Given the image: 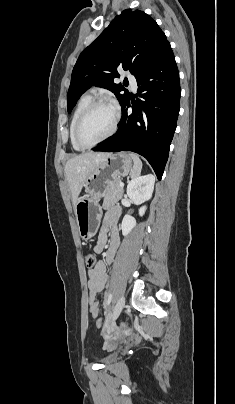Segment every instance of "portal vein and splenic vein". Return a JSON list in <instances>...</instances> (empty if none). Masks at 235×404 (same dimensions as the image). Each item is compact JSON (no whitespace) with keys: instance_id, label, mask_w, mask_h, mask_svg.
Instances as JSON below:
<instances>
[{"instance_id":"obj_1","label":"portal vein and splenic vein","mask_w":235,"mask_h":404,"mask_svg":"<svg viewBox=\"0 0 235 404\" xmlns=\"http://www.w3.org/2000/svg\"><path fill=\"white\" fill-rule=\"evenodd\" d=\"M120 187H121V188H123V187H124V184H123L122 182L120 183Z\"/></svg>"}]
</instances>
